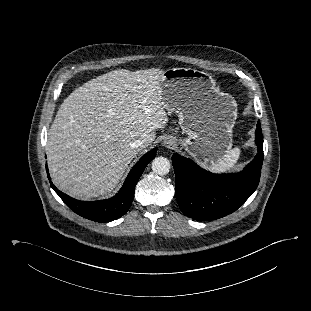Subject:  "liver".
Listing matches in <instances>:
<instances>
[{
	"label": "liver",
	"mask_w": 311,
	"mask_h": 311,
	"mask_svg": "<svg viewBox=\"0 0 311 311\" xmlns=\"http://www.w3.org/2000/svg\"><path fill=\"white\" fill-rule=\"evenodd\" d=\"M164 71L119 69L73 91L48 132L46 153L53 183L89 200L113 192L138 151L168 123L159 83ZM145 139L139 149L130 143Z\"/></svg>",
	"instance_id": "obj_1"
}]
</instances>
